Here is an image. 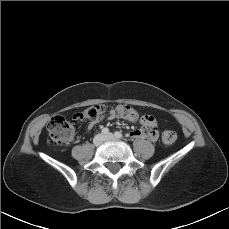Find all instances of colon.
Instances as JSON below:
<instances>
[{"label":"colon","mask_w":229,"mask_h":229,"mask_svg":"<svg viewBox=\"0 0 229 229\" xmlns=\"http://www.w3.org/2000/svg\"><path fill=\"white\" fill-rule=\"evenodd\" d=\"M115 109L119 115L127 119L137 120L139 118L138 111L131 105L120 104ZM105 111V106L93 105L76 113L75 120L98 121ZM75 127V122L68 121L62 115H55L47 124L48 140L54 145L64 144L74 135ZM162 141L167 146L175 144L177 141L176 132L171 130L165 131L162 134Z\"/></svg>","instance_id":"5ec220e1"}]
</instances>
